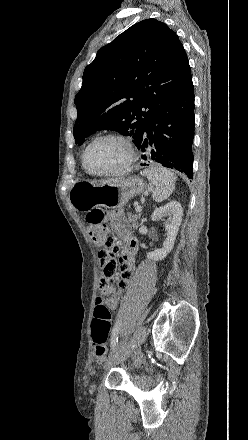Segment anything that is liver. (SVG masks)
<instances>
[{
	"label": "liver",
	"mask_w": 248,
	"mask_h": 440,
	"mask_svg": "<svg viewBox=\"0 0 248 440\" xmlns=\"http://www.w3.org/2000/svg\"><path fill=\"white\" fill-rule=\"evenodd\" d=\"M117 181H119V180H110V181H108V182H117ZM108 182H107V183H108Z\"/></svg>",
	"instance_id": "obj_1"
}]
</instances>
